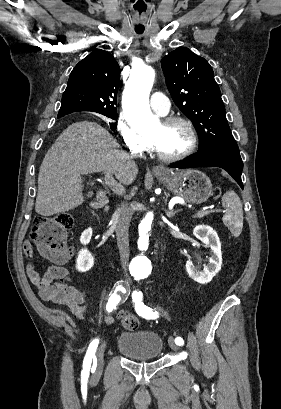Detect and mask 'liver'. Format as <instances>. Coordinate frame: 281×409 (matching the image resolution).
<instances>
[{"label": "liver", "mask_w": 281, "mask_h": 409, "mask_svg": "<svg viewBox=\"0 0 281 409\" xmlns=\"http://www.w3.org/2000/svg\"><path fill=\"white\" fill-rule=\"evenodd\" d=\"M116 138L98 122H73L47 150L38 174L35 211L43 217L66 213L84 202L82 174L112 172L131 184L137 164Z\"/></svg>", "instance_id": "liver-1"}]
</instances>
